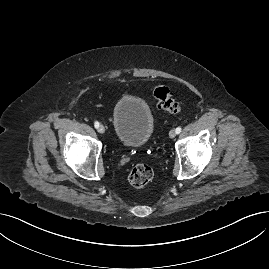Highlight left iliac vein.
Listing matches in <instances>:
<instances>
[{
  "label": "left iliac vein",
  "instance_id": "obj_1",
  "mask_svg": "<svg viewBox=\"0 0 269 269\" xmlns=\"http://www.w3.org/2000/svg\"><path fill=\"white\" fill-rule=\"evenodd\" d=\"M176 134H177V133H176V130L171 129L170 132H169V137H170V138H174V137L176 136Z\"/></svg>",
  "mask_w": 269,
  "mask_h": 269
}]
</instances>
